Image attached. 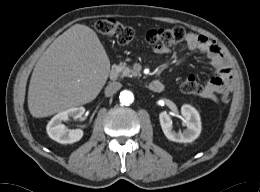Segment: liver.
Here are the masks:
<instances>
[{
	"mask_svg": "<svg viewBox=\"0 0 260 192\" xmlns=\"http://www.w3.org/2000/svg\"><path fill=\"white\" fill-rule=\"evenodd\" d=\"M110 60L97 34L76 24L56 38L37 61L28 89L33 117L51 116L94 100L105 85Z\"/></svg>",
	"mask_w": 260,
	"mask_h": 192,
	"instance_id": "obj_1",
	"label": "liver"
}]
</instances>
